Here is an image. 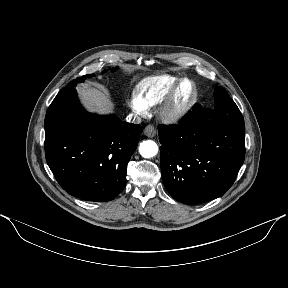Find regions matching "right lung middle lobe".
I'll return each instance as SVG.
<instances>
[{
  "label": "right lung middle lobe",
  "mask_w": 288,
  "mask_h": 288,
  "mask_svg": "<svg viewBox=\"0 0 288 288\" xmlns=\"http://www.w3.org/2000/svg\"><path fill=\"white\" fill-rule=\"evenodd\" d=\"M115 69H117V67ZM115 69L113 68L112 70H115ZM93 76H94V74H88V75H84L82 77L76 78L75 80L71 81L65 88L61 89V91L57 94V96L55 98H57V97L65 94V93H67L68 91H70L72 88H74L77 85V83H81L84 81V79L91 78Z\"/></svg>",
  "instance_id": "1"
}]
</instances>
